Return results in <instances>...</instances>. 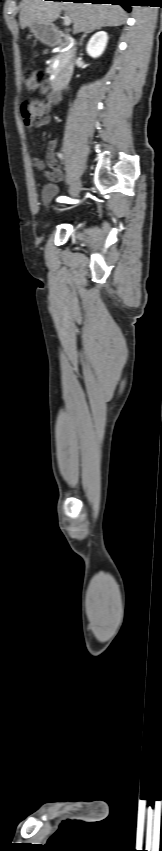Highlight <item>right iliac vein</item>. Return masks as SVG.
Listing matches in <instances>:
<instances>
[{"instance_id":"1","label":"right iliac vein","mask_w":162,"mask_h":851,"mask_svg":"<svg viewBox=\"0 0 162 851\" xmlns=\"http://www.w3.org/2000/svg\"><path fill=\"white\" fill-rule=\"evenodd\" d=\"M80 189H81V180L80 179L74 180L72 182V185H71L70 195L72 197H77L79 192H80Z\"/></svg>"}]
</instances>
